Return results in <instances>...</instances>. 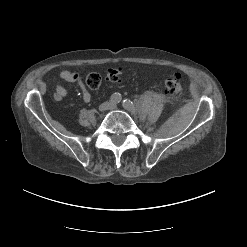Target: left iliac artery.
Instances as JSON below:
<instances>
[{
    "label": "left iliac artery",
    "instance_id": "1",
    "mask_svg": "<svg viewBox=\"0 0 247 247\" xmlns=\"http://www.w3.org/2000/svg\"><path fill=\"white\" fill-rule=\"evenodd\" d=\"M122 106H123L125 109L129 110V112H130L131 114H134V113L136 112V108L134 107L133 102H132L131 100H129V99H124V100L122 101Z\"/></svg>",
    "mask_w": 247,
    "mask_h": 247
}]
</instances>
